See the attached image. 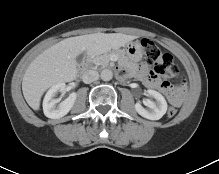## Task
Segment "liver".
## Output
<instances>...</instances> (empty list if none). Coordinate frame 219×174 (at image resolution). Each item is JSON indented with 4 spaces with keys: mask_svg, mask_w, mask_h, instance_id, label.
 <instances>
[{
    "mask_svg": "<svg viewBox=\"0 0 219 174\" xmlns=\"http://www.w3.org/2000/svg\"><path fill=\"white\" fill-rule=\"evenodd\" d=\"M137 36L122 33H94L64 39L38 55L27 68L22 91L28 105L39 110L41 97L51 86L73 81L77 75L76 58L85 52L97 56L125 46Z\"/></svg>",
    "mask_w": 219,
    "mask_h": 174,
    "instance_id": "6515ba94",
    "label": "liver"
}]
</instances>
